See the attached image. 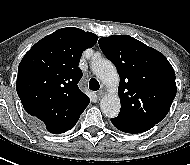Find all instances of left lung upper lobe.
<instances>
[{"instance_id": "1", "label": "left lung upper lobe", "mask_w": 190, "mask_h": 165, "mask_svg": "<svg viewBox=\"0 0 190 165\" xmlns=\"http://www.w3.org/2000/svg\"><path fill=\"white\" fill-rule=\"evenodd\" d=\"M104 55L120 76L118 117L139 123H159L176 95L175 72L159 51L128 35L102 37Z\"/></svg>"}]
</instances>
